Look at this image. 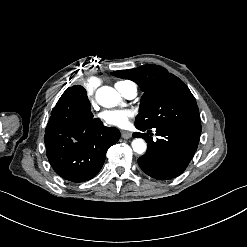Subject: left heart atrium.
I'll use <instances>...</instances> for the list:
<instances>
[{
	"mask_svg": "<svg viewBox=\"0 0 247 247\" xmlns=\"http://www.w3.org/2000/svg\"><path fill=\"white\" fill-rule=\"evenodd\" d=\"M133 116L134 112L129 109H109L101 113L105 124L120 128L127 126Z\"/></svg>",
	"mask_w": 247,
	"mask_h": 247,
	"instance_id": "1",
	"label": "left heart atrium"
}]
</instances>
